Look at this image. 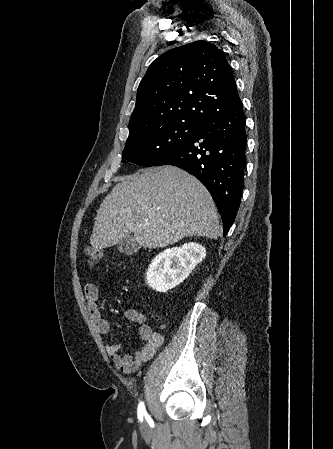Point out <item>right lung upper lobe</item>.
<instances>
[{
  "instance_id": "cb5924a9",
  "label": "right lung upper lobe",
  "mask_w": 333,
  "mask_h": 449,
  "mask_svg": "<svg viewBox=\"0 0 333 449\" xmlns=\"http://www.w3.org/2000/svg\"><path fill=\"white\" fill-rule=\"evenodd\" d=\"M239 100L219 48L203 40L174 48L159 56L141 80L128 139L172 122L201 124Z\"/></svg>"
}]
</instances>
